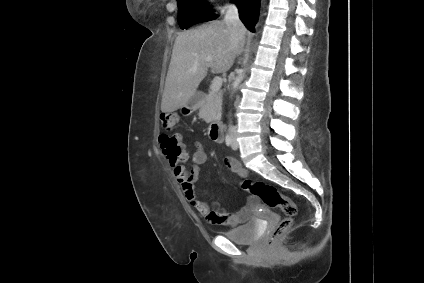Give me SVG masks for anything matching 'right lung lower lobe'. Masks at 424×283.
<instances>
[{
    "label": "right lung lower lobe",
    "instance_id": "98d812e1",
    "mask_svg": "<svg viewBox=\"0 0 424 283\" xmlns=\"http://www.w3.org/2000/svg\"><path fill=\"white\" fill-rule=\"evenodd\" d=\"M239 9V17L248 30L254 32L258 19L260 0H233Z\"/></svg>",
    "mask_w": 424,
    "mask_h": 283
}]
</instances>
